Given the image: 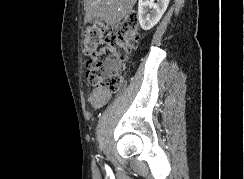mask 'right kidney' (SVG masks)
Returning a JSON list of instances; mask_svg holds the SVG:
<instances>
[{
  "label": "right kidney",
  "instance_id": "right-kidney-1",
  "mask_svg": "<svg viewBox=\"0 0 244 179\" xmlns=\"http://www.w3.org/2000/svg\"><path fill=\"white\" fill-rule=\"evenodd\" d=\"M170 0H139L138 20L142 30H151L161 20ZM149 12V14H148Z\"/></svg>",
  "mask_w": 244,
  "mask_h": 179
}]
</instances>
